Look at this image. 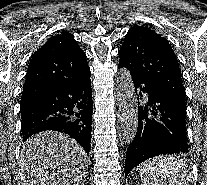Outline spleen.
<instances>
[{
  "instance_id": "spleen-1",
  "label": "spleen",
  "mask_w": 207,
  "mask_h": 185,
  "mask_svg": "<svg viewBox=\"0 0 207 185\" xmlns=\"http://www.w3.org/2000/svg\"><path fill=\"white\" fill-rule=\"evenodd\" d=\"M178 158V153H157V158H148V162H138L133 166L137 177L147 185H189L192 183L190 167H186L187 159Z\"/></svg>"
}]
</instances>
